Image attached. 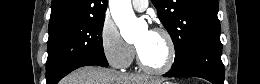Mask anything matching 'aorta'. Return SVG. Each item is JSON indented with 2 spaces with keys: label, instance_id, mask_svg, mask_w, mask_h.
I'll use <instances>...</instances> for the list:
<instances>
[{
  "label": "aorta",
  "instance_id": "762f6f07",
  "mask_svg": "<svg viewBox=\"0 0 260 84\" xmlns=\"http://www.w3.org/2000/svg\"><path fill=\"white\" fill-rule=\"evenodd\" d=\"M109 7L122 37L128 42L134 41L141 31L142 25L133 12L131 0H109Z\"/></svg>",
  "mask_w": 260,
  "mask_h": 84
}]
</instances>
